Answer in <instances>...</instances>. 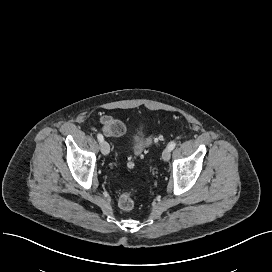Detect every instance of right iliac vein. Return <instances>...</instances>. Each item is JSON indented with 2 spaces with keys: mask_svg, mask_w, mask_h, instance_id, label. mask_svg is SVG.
Returning a JSON list of instances; mask_svg holds the SVG:
<instances>
[{
  "mask_svg": "<svg viewBox=\"0 0 272 272\" xmlns=\"http://www.w3.org/2000/svg\"><path fill=\"white\" fill-rule=\"evenodd\" d=\"M100 149H101V152L103 153V155H108L110 152V146H109L108 142L102 141L100 144Z\"/></svg>",
  "mask_w": 272,
  "mask_h": 272,
  "instance_id": "1",
  "label": "right iliac vein"
}]
</instances>
